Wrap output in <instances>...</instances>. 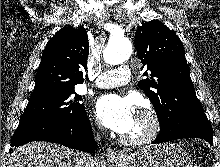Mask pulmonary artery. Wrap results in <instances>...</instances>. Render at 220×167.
Wrapping results in <instances>:
<instances>
[{
	"instance_id": "e3ab8cb5",
	"label": "pulmonary artery",
	"mask_w": 220,
	"mask_h": 167,
	"mask_svg": "<svg viewBox=\"0 0 220 167\" xmlns=\"http://www.w3.org/2000/svg\"><path fill=\"white\" fill-rule=\"evenodd\" d=\"M131 77L130 67L122 65L99 74L95 80V85L99 88H112L128 84Z\"/></svg>"
}]
</instances>
